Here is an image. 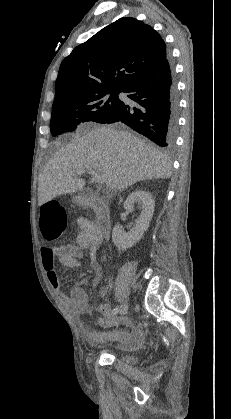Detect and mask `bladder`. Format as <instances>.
Listing matches in <instances>:
<instances>
[{
  "label": "bladder",
  "instance_id": "31cf9c89",
  "mask_svg": "<svg viewBox=\"0 0 231 419\" xmlns=\"http://www.w3.org/2000/svg\"><path fill=\"white\" fill-rule=\"evenodd\" d=\"M117 359L127 366H134L138 362V357L136 355L127 354V353H118Z\"/></svg>",
  "mask_w": 231,
  "mask_h": 419
}]
</instances>
